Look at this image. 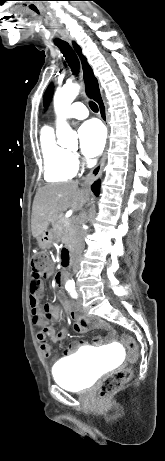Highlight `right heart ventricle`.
I'll return each mask as SVG.
<instances>
[{"label": "right heart ventricle", "mask_w": 165, "mask_h": 461, "mask_svg": "<svg viewBox=\"0 0 165 461\" xmlns=\"http://www.w3.org/2000/svg\"><path fill=\"white\" fill-rule=\"evenodd\" d=\"M40 148L43 158V174L48 182L71 180L77 172L71 153L57 144L54 132L45 127L41 131Z\"/></svg>", "instance_id": "obj_1"}]
</instances>
